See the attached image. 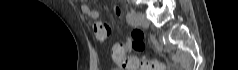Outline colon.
Listing matches in <instances>:
<instances>
[{
  "label": "colon",
  "mask_w": 238,
  "mask_h": 70,
  "mask_svg": "<svg viewBox=\"0 0 238 70\" xmlns=\"http://www.w3.org/2000/svg\"><path fill=\"white\" fill-rule=\"evenodd\" d=\"M143 32L141 30H133L131 36H121L120 40L125 43L129 42L130 48H135L136 50H142L144 48ZM124 42H113L112 45V59L119 64V66L124 70H162L161 63L157 61H151L146 58L138 59L131 56V54H124L126 44Z\"/></svg>",
  "instance_id": "obj_1"
}]
</instances>
